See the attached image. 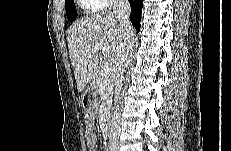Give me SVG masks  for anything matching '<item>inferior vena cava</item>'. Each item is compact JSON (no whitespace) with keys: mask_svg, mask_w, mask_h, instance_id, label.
<instances>
[{"mask_svg":"<svg viewBox=\"0 0 231 151\" xmlns=\"http://www.w3.org/2000/svg\"><path fill=\"white\" fill-rule=\"evenodd\" d=\"M130 12H131V7L128 0H114L113 14L116 16L121 30L128 38V41L126 42L120 53L119 62L117 66V74L115 78L116 104L118 103V98L123 87L122 76L125 72L128 59L131 55L134 46V40L130 38V35H133V28L129 21ZM120 132H121L120 113H119V105L117 104L111 120V128H110V136H109L110 148H115V146L118 144Z\"/></svg>","mask_w":231,"mask_h":151,"instance_id":"obj_1","label":"inferior vena cava"}]
</instances>
